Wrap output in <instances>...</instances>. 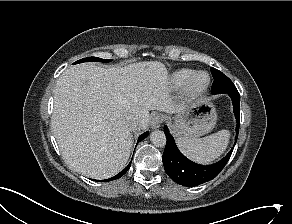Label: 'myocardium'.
Here are the masks:
<instances>
[{"mask_svg":"<svg viewBox=\"0 0 292 224\" xmlns=\"http://www.w3.org/2000/svg\"><path fill=\"white\" fill-rule=\"evenodd\" d=\"M201 75H206V77H207V80L203 85H199L198 82H197L198 78ZM210 83H211V77H210V74L208 72H206V71L196 72L189 79V81L186 83V85H185V93L189 97L199 96V95L203 94L209 88Z\"/></svg>","mask_w":292,"mask_h":224,"instance_id":"myocardium-1","label":"myocardium"}]
</instances>
